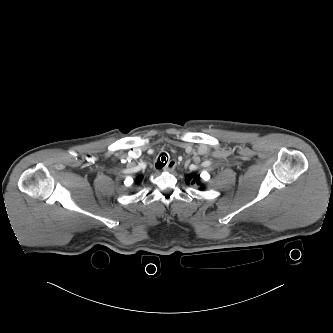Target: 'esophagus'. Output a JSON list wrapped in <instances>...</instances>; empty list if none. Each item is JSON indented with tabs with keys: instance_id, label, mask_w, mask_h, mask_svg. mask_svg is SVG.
Here are the masks:
<instances>
[{
	"instance_id": "34e87169",
	"label": "esophagus",
	"mask_w": 333,
	"mask_h": 333,
	"mask_svg": "<svg viewBox=\"0 0 333 333\" xmlns=\"http://www.w3.org/2000/svg\"><path fill=\"white\" fill-rule=\"evenodd\" d=\"M175 166H176V161L175 160H171L163 168V171H165V172H172L175 169Z\"/></svg>"
}]
</instances>
